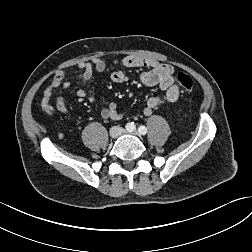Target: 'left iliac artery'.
<instances>
[{
    "label": "left iliac artery",
    "instance_id": "obj_1",
    "mask_svg": "<svg viewBox=\"0 0 252 252\" xmlns=\"http://www.w3.org/2000/svg\"><path fill=\"white\" fill-rule=\"evenodd\" d=\"M138 131L141 135H145L147 133V128L143 125H141L139 128H138Z\"/></svg>",
    "mask_w": 252,
    "mask_h": 252
}]
</instances>
